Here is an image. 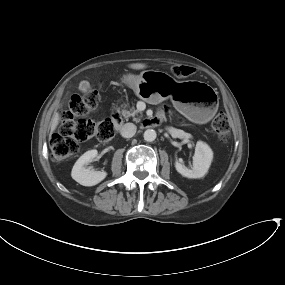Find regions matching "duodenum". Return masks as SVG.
Instances as JSON below:
<instances>
[{
    "instance_id": "410a0bca",
    "label": "duodenum",
    "mask_w": 285,
    "mask_h": 285,
    "mask_svg": "<svg viewBox=\"0 0 285 285\" xmlns=\"http://www.w3.org/2000/svg\"><path fill=\"white\" fill-rule=\"evenodd\" d=\"M111 119L115 123L116 129L120 130V128L122 126V117H121V114L117 108H115L113 110L112 115H111Z\"/></svg>"
}]
</instances>
